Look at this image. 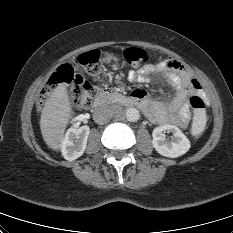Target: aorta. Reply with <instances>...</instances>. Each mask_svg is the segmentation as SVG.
I'll return each mask as SVG.
<instances>
[{
  "label": "aorta",
  "mask_w": 233,
  "mask_h": 233,
  "mask_svg": "<svg viewBox=\"0 0 233 233\" xmlns=\"http://www.w3.org/2000/svg\"><path fill=\"white\" fill-rule=\"evenodd\" d=\"M125 117L130 122H136L140 118V113L136 108H128L125 112Z\"/></svg>",
  "instance_id": "aorta-1"
}]
</instances>
